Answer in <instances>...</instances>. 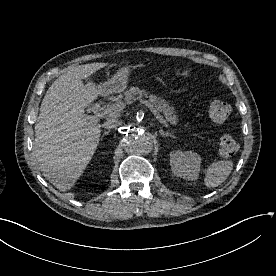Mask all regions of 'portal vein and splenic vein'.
Here are the masks:
<instances>
[{"label": "portal vein and splenic vein", "instance_id": "18ae733b", "mask_svg": "<svg viewBox=\"0 0 276 276\" xmlns=\"http://www.w3.org/2000/svg\"><path fill=\"white\" fill-rule=\"evenodd\" d=\"M141 103L144 104L147 108H149V110L154 114V116L162 124H164L166 127L168 126L166 121L162 117V115L159 114V112L156 110V108L151 103H149L146 100H142ZM125 107L126 106H125L124 103H115V104L107 105L105 107H102V108L98 109L96 111L95 115L91 117V120L93 122H96V121H98L99 118H103L105 116H115L119 112H121Z\"/></svg>", "mask_w": 276, "mask_h": 276}]
</instances>
